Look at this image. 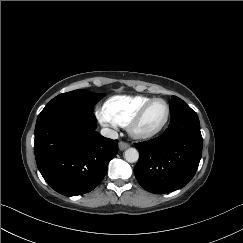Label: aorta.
<instances>
[{
    "instance_id": "obj_1",
    "label": "aorta",
    "mask_w": 243,
    "mask_h": 243,
    "mask_svg": "<svg viewBox=\"0 0 243 243\" xmlns=\"http://www.w3.org/2000/svg\"><path fill=\"white\" fill-rule=\"evenodd\" d=\"M124 158L127 162L134 163V162L138 161L139 153H138L137 149H135V148H128L124 152Z\"/></svg>"
}]
</instances>
